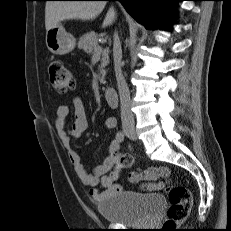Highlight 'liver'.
I'll list each match as a JSON object with an SVG mask.
<instances>
[{
    "label": "liver",
    "instance_id": "obj_1",
    "mask_svg": "<svg viewBox=\"0 0 231 231\" xmlns=\"http://www.w3.org/2000/svg\"><path fill=\"white\" fill-rule=\"evenodd\" d=\"M105 1H48L45 7L46 31L65 20H94L104 9ZM116 18L113 7L109 9L102 27L111 25Z\"/></svg>",
    "mask_w": 231,
    "mask_h": 231
}]
</instances>
